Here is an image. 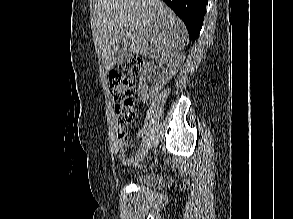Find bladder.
Masks as SVG:
<instances>
[{"label": "bladder", "instance_id": "bladder-1", "mask_svg": "<svg viewBox=\"0 0 293 219\" xmlns=\"http://www.w3.org/2000/svg\"><path fill=\"white\" fill-rule=\"evenodd\" d=\"M133 182L142 188L157 189L162 185V177L155 172H143L133 177Z\"/></svg>", "mask_w": 293, "mask_h": 219}]
</instances>
